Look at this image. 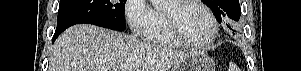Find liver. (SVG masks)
Masks as SVG:
<instances>
[{"instance_id": "obj_1", "label": "liver", "mask_w": 301, "mask_h": 71, "mask_svg": "<svg viewBox=\"0 0 301 71\" xmlns=\"http://www.w3.org/2000/svg\"><path fill=\"white\" fill-rule=\"evenodd\" d=\"M190 53L90 24L75 25L55 41L49 71H168ZM129 65L128 69H122Z\"/></svg>"}]
</instances>
